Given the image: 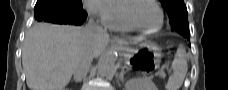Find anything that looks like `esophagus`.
I'll return each instance as SVG.
<instances>
[{
    "label": "esophagus",
    "instance_id": "1",
    "mask_svg": "<svg viewBox=\"0 0 228 90\" xmlns=\"http://www.w3.org/2000/svg\"><path fill=\"white\" fill-rule=\"evenodd\" d=\"M116 41H117L118 43L122 42V40H121V39H117Z\"/></svg>",
    "mask_w": 228,
    "mask_h": 90
}]
</instances>
